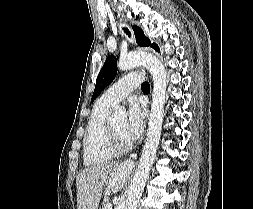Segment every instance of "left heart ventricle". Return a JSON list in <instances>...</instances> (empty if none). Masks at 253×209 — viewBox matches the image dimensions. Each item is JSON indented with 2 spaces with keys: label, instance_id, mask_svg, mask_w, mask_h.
I'll list each match as a JSON object with an SVG mask.
<instances>
[{
  "label": "left heart ventricle",
  "instance_id": "obj_1",
  "mask_svg": "<svg viewBox=\"0 0 253 209\" xmlns=\"http://www.w3.org/2000/svg\"><path fill=\"white\" fill-rule=\"evenodd\" d=\"M111 125L119 141L123 144H129V142L124 137V128L126 125V120L118 119V120L113 121Z\"/></svg>",
  "mask_w": 253,
  "mask_h": 209
}]
</instances>
